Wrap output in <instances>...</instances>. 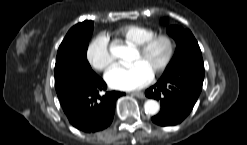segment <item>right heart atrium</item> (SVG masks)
Instances as JSON below:
<instances>
[{"label":"right heart atrium","mask_w":247,"mask_h":145,"mask_svg":"<svg viewBox=\"0 0 247 145\" xmlns=\"http://www.w3.org/2000/svg\"><path fill=\"white\" fill-rule=\"evenodd\" d=\"M86 58L89 64L98 71L107 69L113 62L108 39L104 34L95 36L88 44Z\"/></svg>","instance_id":"1"}]
</instances>
